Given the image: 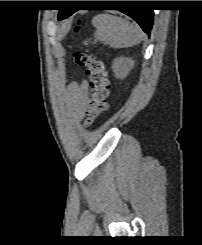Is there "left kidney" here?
Segmentation results:
<instances>
[{"label": "left kidney", "instance_id": "left-kidney-1", "mask_svg": "<svg viewBox=\"0 0 202 245\" xmlns=\"http://www.w3.org/2000/svg\"><path fill=\"white\" fill-rule=\"evenodd\" d=\"M134 66V61L128 57H118L113 60L112 69L116 78L123 79Z\"/></svg>", "mask_w": 202, "mask_h": 245}]
</instances>
